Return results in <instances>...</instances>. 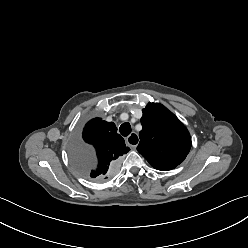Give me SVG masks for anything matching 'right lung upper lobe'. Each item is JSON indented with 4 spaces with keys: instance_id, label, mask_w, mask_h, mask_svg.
I'll use <instances>...</instances> for the list:
<instances>
[{
    "instance_id": "cb5924a9",
    "label": "right lung upper lobe",
    "mask_w": 248,
    "mask_h": 248,
    "mask_svg": "<svg viewBox=\"0 0 248 248\" xmlns=\"http://www.w3.org/2000/svg\"><path fill=\"white\" fill-rule=\"evenodd\" d=\"M83 140L94 152V167L87 173L93 180L106 179L105 175L117 164L119 158L130 150L124 139L117 134L115 124L100 118L86 124Z\"/></svg>"
}]
</instances>
